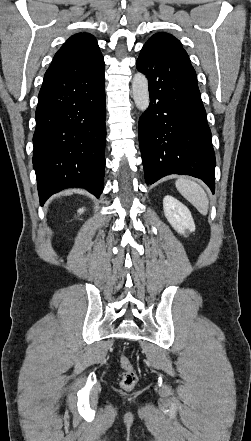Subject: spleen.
Returning a JSON list of instances; mask_svg holds the SVG:
<instances>
[{
  "label": "spleen",
  "mask_w": 251,
  "mask_h": 441,
  "mask_svg": "<svg viewBox=\"0 0 251 441\" xmlns=\"http://www.w3.org/2000/svg\"><path fill=\"white\" fill-rule=\"evenodd\" d=\"M176 188L202 214L207 215L209 201L204 189L194 181L184 177L179 178Z\"/></svg>",
  "instance_id": "spleen-1"
}]
</instances>
